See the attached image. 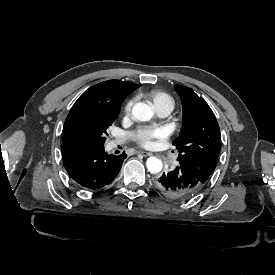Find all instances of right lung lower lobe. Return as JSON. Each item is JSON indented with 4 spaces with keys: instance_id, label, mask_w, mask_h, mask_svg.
Returning a JSON list of instances; mask_svg holds the SVG:
<instances>
[{
    "instance_id": "1",
    "label": "right lung lower lobe",
    "mask_w": 275,
    "mask_h": 275,
    "mask_svg": "<svg viewBox=\"0 0 275 275\" xmlns=\"http://www.w3.org/2000/svg\"><path fill=\"white\" fill-rule=\"evenodd\" d=\"M61 151L69 176L88 190H98L110 184L127 157L125 153L108 155L104 146L87 142L63 143Z\"/></svg>"
}]
</instances>
